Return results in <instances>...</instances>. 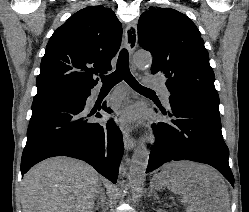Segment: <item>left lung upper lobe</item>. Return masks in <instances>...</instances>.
<instances>
[{
    "instance_id": "obj_1",
    "label": "left lung upper lobe",
    "mask_w": 249,
    "mask_h": 212,
    "mask_svg": "<svg viewBox=\"0 0 249 212\" xmlns=\"http://www.w3.org/2000/svg\"><path fill=\"white\" fill-rule=\"evenodd\" d=\"M196 25L171 9L149 7L138 21L140 46L153 55L152 74H163L171 95L219 104L214 72Z\"/></svg>"
}]
</instances>
